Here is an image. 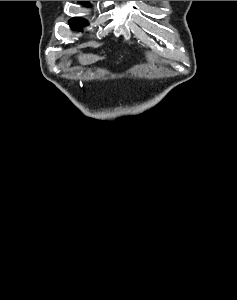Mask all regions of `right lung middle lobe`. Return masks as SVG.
Here are the masks:
<instances>
[{
  "label": "right lung middle lobe",
  "mask_w": 237,
  "mask_h": 300,
  "mask_svg": "<svg viewBox=\"0 0 237 300\" xmlns=\"http://www.w3.org/2000/svg\"><path fill=\"white\" fill-rule=\"evenodd\" d=\"M79 3L88 6L87 1H79ZM69 24L73 30H79L81 27L88 25V22L83 18H73L69 21Z\"/></svg>",
  "instance_id": "1"
}]
</instances>
